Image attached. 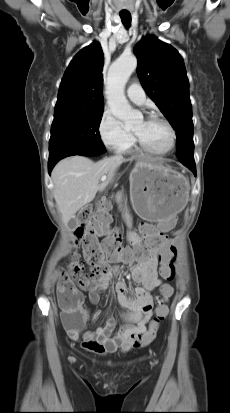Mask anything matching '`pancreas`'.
<instances>
[{"instance_id": "pancreas-1", "label": "pancreas", "mask_w": 230, "mask_h": 413, "mask_svg": "<svg viewBox=\"0 0 230 413\" xmlns=\"http://www.w3.org/2000/svg\"><path fill=\"white\" fill-rule=\"evenodd\" d=\"M116 201H117V203H121L123 200H122V198H123V195H122V192H118L117 194H116Z\"/></svg>"}]
</instances>
